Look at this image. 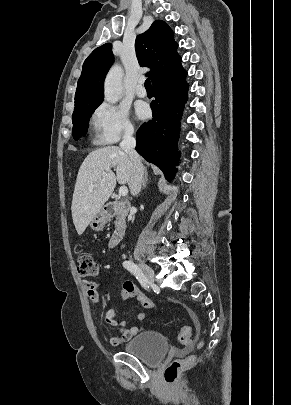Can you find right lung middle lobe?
Returning a JSON list of instances; mask_svg holds the SVG:
<instances>
[{
    "instance_id": "dd1d6c3e",
    "label": "right lung middle lobe",
    "mask_w": 291,
    "mask_h": 405,
    "mask_svg": "<svg viewBox=\"0 0 291 405\" xmlns=\"http://www.w3.org/2000/svg\"><path fill=\"white\" fill-rule=\"evenodd\" d=\"M98 107L93 106L89 107L83 110H80L78 112L73 113L72 116V123H73V128H72V133L73 137L75 140H78V138L81 135H85L88 129V124H89V118L93 114L94 110Z\"/></svg>"
}]
</instances>
